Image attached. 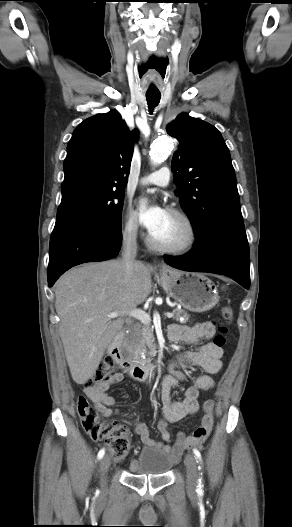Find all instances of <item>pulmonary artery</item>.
<instances>
[{
    "label": "pulmonary artery",
    "instance_id": "e3ab8cb5",
    "mask_svg": "<svg viewBox=\"0 0 292 527\" xmlns=\"http://www.w3.org/2000/svg\"><path fill=\"white\" fill-rule=\"evenodd\" d=\"M170 182V170L167 167H163L160 170L149 174L141 178L140 183L142 185H155L165 187Z\"/></svg>",
    "mask_w": 292,
    "mask_h": 527
}]
</instances>
